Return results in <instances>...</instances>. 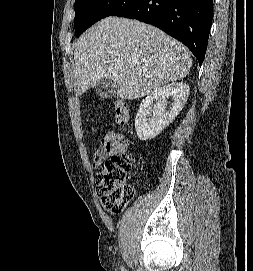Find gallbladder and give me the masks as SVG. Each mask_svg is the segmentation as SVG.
Instances as JSON below:
<instances>
[{"label": "gallbladder", "mask_w": 253, "mask_h": 271, "mask_svg": "<svg viewBox=\"0 0 253 271\" xmlns=\"http://www.w3.org/2000/svg\"><path fill=\"white\" fill-rule=\"evenodd\" d=\"M96 94L103 98L109 99L115 96L117 90V84L109 78H102L95 86Z\"/></svg>", "instance_id": "1"}]
</instances>
